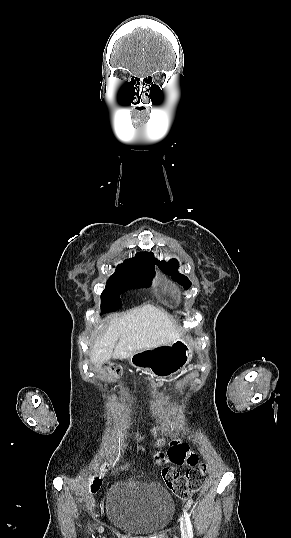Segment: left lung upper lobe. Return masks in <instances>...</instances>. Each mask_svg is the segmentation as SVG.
Masks as SVG:
<instances>
[{
    "mask_svg": "<svg viewBox=\"0 0 291 538\" xmlns=\"http://www.w3.org/2000/svg\"><path fill=\"white\" fill-rule=\"evenodd\" d=\"M156 263L162 269V271L169 275H172L173 280L178 282L185 289L190 288L191 282L189 281V279L178 272L179 263L176 259H170L168 262L158 261L156 259Z\"/></svg>",
    "mask_w": 291,
    "mask_h": 538,
    "instance_id": "5c2ea615",
    "label": "left lung upper lobe"
}]
</instances>
